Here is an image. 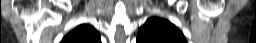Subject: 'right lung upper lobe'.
Segmentation results:
<instances>
[{"instance_id":"cb5924a9","label":"right lung upper lobe","mask_w":256,"mask_h":43,"mask_svg":"<svg viewBox=\"0 0 256 43\" xmlns=\"http://www.w3.org/2000/svg\"><path fill=\"white\" fill-rule=\"evenodd\" d=\"M61 43H101L100 35L90 25L83 24L68 33Z\"/></svg>"}]
</instances>
